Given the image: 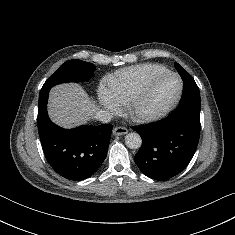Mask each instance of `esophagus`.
<instances>
[{"label":"esophagus","instance_id":"esophagus-1","mask_svg":"<svg viewBox=\"0 0 235 235\" xmlns=\"http://www.w3.org/2000/svg\"><path fill=\"white\" fill-rule=\"evenodd\" d=\"M128 133V129L125 127H115L113 129V135L115 136H120V135H125Z\"/></svg>","mask_w":235,"mask_h":235}]
</instances>
